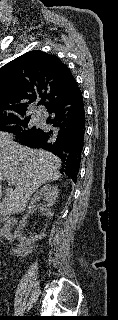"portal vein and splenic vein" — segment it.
<instances>
[{"label":"portal vein and splenic vein","mask_w":118,"mask_h":320,"mask_svg":"<svg viewBox=\"0 0 118 320\" xmlns=\"http://www.w3.org/2000/svg\"><path fill=\"white\" fill-rule=\"evenodd\" d=\"M8 183H11L12 185H13V184H15V182H13V181H11V182H10V181H8Z\"/></svg>","instance_id":"18ae733b"}]
</instances>
